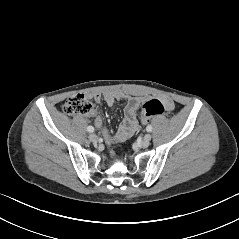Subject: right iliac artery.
I'll use <instances>...</instances> for the list:
<instances>
[{"mask_svg":"<svg viewBox=\"0 0 239 239\" xmlns=\"http://www.w3.org/2000/svg\"><path fill=\"white\" fill-rule=\"evenodd\" d=\"M87 131H89V132H94V128H93L92 126H88V127H87Z\"/></svg>","mask_w":239,"mask_h":239,"instance_id":"right-iliac-artery-1","label":"right iliac artery"}]
</instances>
